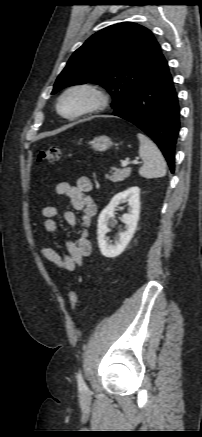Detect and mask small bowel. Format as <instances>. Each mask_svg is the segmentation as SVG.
Listing matches in <instances>:
<instances>
[{
	"instance_id": "small-bowel-1",
	"label": "small bowel",
	"mask_w": 202,
	"mask_h": 437,
	"mask_svg": "<svg viewBox=\"0 0 202 437\" xmlns=\"http://www.w3.org/2000/svg\"><path fill=\"white\" fill-rule=\"evenodd\" d=\"M92 188V181L88 177L78 178L75 184L59 182L55 185L54 193L59 196H66L72 208V210L64 213V219L70 227L77 224L74 211L82 212V224L85 228L89 226L91 218L96 214L97 206L89 195ZM41 214L44 218V229L49 233H57L56 218L58 217V210L55 207L46 206L41 210ZM39 252L46 260L58 268L73 272L91 255L92 244L88 238L87 230L84 229L77 239L66 242L65 254H59L53 248L46 246H41Z\"/></svg>"
}]
</instances>
